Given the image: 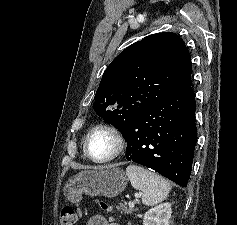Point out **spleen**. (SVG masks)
<instances>
[{
  "instance_id": "spleen-1",
  "label": "spleen",
  "mask_w": 237,
  "mask_h": 225,
  "mask_svg": "<svg viewBox=\"0 0 237 225\" xmlns=\"http://www.w3.org/2000/svg\"><path fill=\"white\" fill-rule=\"evenodd\" d=\"M126 174L133 188L142 192V203L146 206L161 203L171 190L168 180L141 166L129 165Z\"/></svg>"
}]
</instances>
